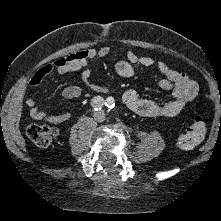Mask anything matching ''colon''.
Instances as JSON below:
<instances>
[{"label":"colon","instance_id":"obj_1","mask_svg":"<svg viewBox=\"0 0 221 221\" xmlns=\"http://www.w3.org/2000/svg\"><path fill=\"white\" fill-rule=\"evenodd\" d=\"M206 124L201 116H196L191 125L178 137L176 147L183 150L197 146L204 138ZM58 135V131L48 125L32 124L27 128L28 138L38 147L50 146Z\"/></svg>","mask_w":221,"mask_h":221}]
</instances>
